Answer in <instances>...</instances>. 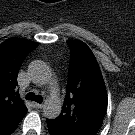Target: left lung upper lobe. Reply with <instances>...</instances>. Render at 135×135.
I'll return each mask as SVG.
<instances>
[{
    "instance_id": "5c2ea615",
    "label": "left lung upper lobe",
    "mask_w": 135,
    "mask_h": 135,
    "mask_svg": "<svg viewBox=\"0 0 135 135\" xmlns=\"http://www.w3.org/2000/svg\"><path fill=\"white\" fill-rule=\"evenodd\" d=\"M70 65L67 91L60 115L50 120L63 135H95L107 110V94L99 65L81 41H67Z\"/></svg>"
}]
</instances>
